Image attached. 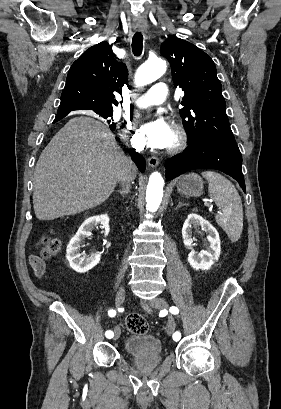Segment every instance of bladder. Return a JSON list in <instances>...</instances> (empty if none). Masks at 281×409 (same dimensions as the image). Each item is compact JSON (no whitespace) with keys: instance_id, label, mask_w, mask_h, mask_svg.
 I'll return each instance as SVG.
<instances>
[{"instance_id":"31cf9c89","label":"bladder","mask_w":281,"mask_h":409,"mask_svg":"<svg viewBox=\"0 0 281 409\" xmlns=\"http://www.w3.org/2000/svg\"><path fill=\"white\" fill-rule=\"evenodd\" d=\"M122 351L128 357L164 354L162 340L152 333L133 334L125 337L122 342Z\"/></svg>"}]
</instances>
